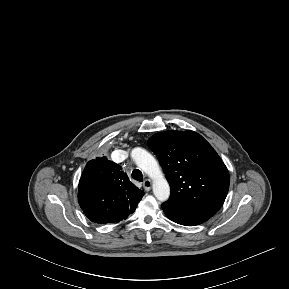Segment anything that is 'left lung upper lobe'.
Listing matches in <instances>:
<instances>
[{"label": "left lung upper lobe", "instance_id": "1", "mask_svg": "<svg viewBox=\"0 0 289 289\" xmlns=\"http://www.w3.org/2000/svg\"><path fill=\"white\" fill-rule=\"evenodd\" d=\"M148 146L158 157L171 188L168 203L213 216L229 189V172L212 146L193 131L153 135Z\"/></svg>", "mask_w": 289, "mask_h": 289}]
</instances>
